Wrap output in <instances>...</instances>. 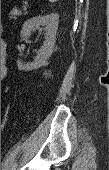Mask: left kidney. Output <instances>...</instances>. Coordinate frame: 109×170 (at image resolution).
Returning a JSON list of instances; mask_svg holds the SVG:
<instances>
[{"mask_svg":"<svg viewBox=\"0 0 109 170\" xmlns=\"http://www.w3.org/2000/svg\"><path fill=\"white\" fill-rule=\"evenodd\" d=\"M59 16L56 13L37 16L27 20L22 27L21 37L28 38L32 31L39 29L40 26H45V41L42 48L38 51L33 62L23 64L20 60L17 61L19 70H34L46 65L47 60L54 51L56 41V33L58 29Z\"/></svg>","mask_w":109,"mask_h":170,"instance_id":"1","label":"left kidney"}]
</instances>
